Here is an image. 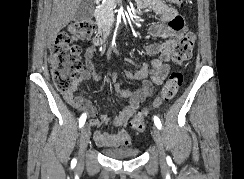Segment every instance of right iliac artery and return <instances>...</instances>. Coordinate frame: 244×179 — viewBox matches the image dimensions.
I'll return each instance as SVG.
<instances>
[{"label": "right iliac artery", "instance_id": "82829eb1", "mask_svg": "<svg viewBox=\"0 0 244 179\" xmlns=\"http://www.w3.org/2000/svg\"><path fill=\"white\" fill-rule=\"evenodd\" d=\"M86 121V113L82 114L80 119H79V127L81 128Z\"/></svg>", "mask_w": 244, "mask_h": 179}]
</instances>
